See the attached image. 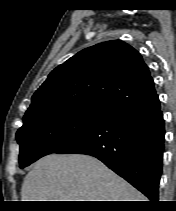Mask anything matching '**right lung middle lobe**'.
I'll use <instances>...</instances> for the list:
<instances>
[{"mask_svg": "<svg viewBox=\"0 0 176 211\" xmlns=\"http://www.w3.org/2000/svg\"><path fill=\"white\" fill-rule=\"evenodd\" d=\"M105 117L68 109H45L25 116L23 126L16 134L20 145V168L56 152L97 126Z\"/></svg>", "mask_w": 176, "mask_h": 211, "instance_id": "dd1d6c3e", "label": "right lung middle lobe"}]
</instances>
